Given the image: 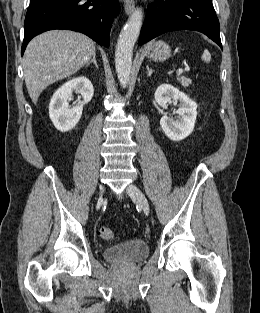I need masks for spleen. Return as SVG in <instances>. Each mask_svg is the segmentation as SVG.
<instances>
[{
    "instance_id": "obj_1",
    "label": "spleen",
    "mask_w": 260,
    "mask_h": 313,
    "mask_svg": "<svg viewBox=\"0 0 260 313\" xmlns=\"http://www.w3.org/2000/svg\"><path fill=\"white\" fill-rule=\"evenodd\" d=\"M201 58H202L203 61H205L207 63L210 62V60H211L210 52L207 49H205Z\"/></svg>"
}]
</instances>
